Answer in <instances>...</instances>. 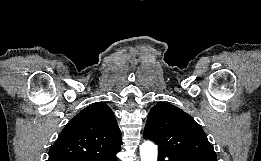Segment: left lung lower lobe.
<instances>
[{
	"label": "left lung lower lobe",
	"instance_id": "1",
	"mask_svg": "<svg viewBox=\"0 0 261 161\" xmlns=\"http://www.w3.org/2000/svg\"><path fill=\"white\" fill-rule=\"evenodd\" d=\"M158 161H206L202 158L183 154L173 150H159Z\"/></svg>",
	"mask_w": 261,
	"mask_h": 161
}]
</instances>
